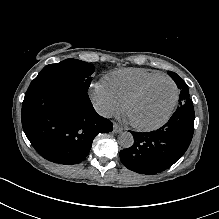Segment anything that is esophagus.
I'll list each match as a JSON object with an SVG mask.
<instances>
[{"instance_id": "34e87169", "label": "esophagus", "mask_w": 219, "mask_h": 219, "mask_svg": "<svg viewBox=\"0 0 219 219\" xmlns=\"http://www.w3.org/2000/svg\"><path fill=\"white\" fill-rule=\"evenodd\" d=\"M123 130H124V128H123L122 126H120V125H118V124H116V123L113 125V132H114V133L119 134V133H121Z\"/></svg>"}]
</instances>
